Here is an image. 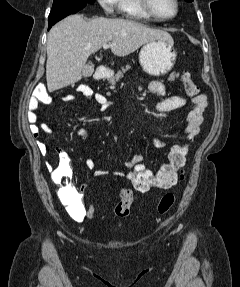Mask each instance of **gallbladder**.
<instances>
[{"label": "gallbladder", "mask_w": 240, "mask_h": 287, "mask_svg": "<svg viewBox=\"0 0 240 287\" xmlns=\"http://www.w3.org/2000/svg\"><path fill=\"white\" fill-rule=\"evenodd\" d=\"M93 72H94L93 65L92 64H88L83 69V76L84 77H90Z\"/></svg>", "instance_id": "bac80fb5"}]
</instances>
